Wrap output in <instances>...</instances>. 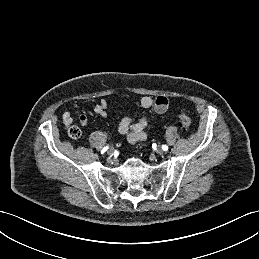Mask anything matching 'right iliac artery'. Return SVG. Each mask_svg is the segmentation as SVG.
<instances>
[{
    "label": "right iliac artery",
    "mask_w": 259,
    "mask_h": 259,
    "mask_svg": "<svg viewBox=\"0 0 259 259\" xmlns=\"http://www.w3.org/2000/svg\"><path fill=\"white\" fill-rule=\"evenodd\" d=\"M108 149V147H104L102 150H101V153H104L106 150Z\"/></svg>",
    "instance_id": "obj_1"
}]
</instances>
